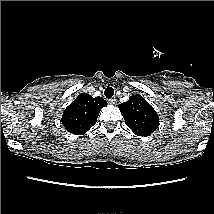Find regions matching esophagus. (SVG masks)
Here are the masks:
<instances>
[{
    "instance_id": "1",
    "label": "esophagus",
    "mask_w": 214,
    "mask_h": 214,
    "mask_svg": "<svg viewBox=\"0 0 214 214\" xmlns=\"http://www.w3.org/2000/svg\"><path fill=\"white\" fill-rule=\"evenodd\" d=\"M108 103L111 104V105H116L117 104V99L111 98V99L108 100Z\"/></svg>"
}]
</instances>
